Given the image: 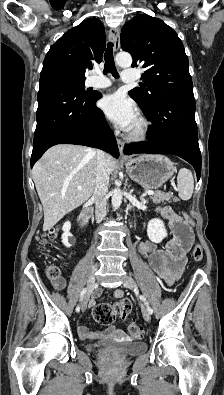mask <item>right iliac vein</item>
<instances>
[{"mask_svg": "<svg viewBox=\"0 0 224 395\" xmlns=\"http://www.w3.org/2000/svg\"><path fill=\"white\" fill-rule=\"evenodd\" d=\"M97 270H98V266H97V264H95L93 266L90 274H89V277H88V281H87V288H88V290H87V293H86V295L84 297V300L82 302V311H85L86 308H87V304H88V301H89V298H90V294H91V292H92V290L94 288L95 277H96Z\"/></svg>", "mask_w": 224, "mask_h": 395, "instance_id": "right-iliac-vein-1", "label": "right iliac vein"}]
</instances>
